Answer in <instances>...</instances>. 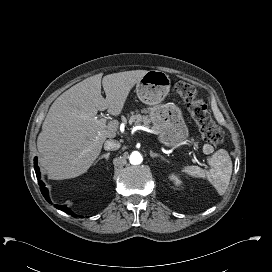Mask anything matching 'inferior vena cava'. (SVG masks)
Masks as SVG:
<instances>
[{
    "instance_id": "1",
    "label": "inferior vena cava",
    "mask_w": 272,
    "mask_h": 272,
    "mask_svg": "<svg viewBox=\"0 0 272 272\" xmlns=\"http://www.w3.org/2000/svg\"><path fill=\"white\" fill-rule=\"evenodd\" d=\"M120 143L116 140H107L104 143V149L105 150H118L120 148Z\"/></svg>"
}]
</instances>
